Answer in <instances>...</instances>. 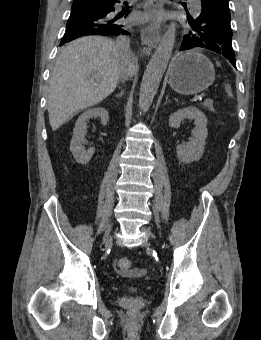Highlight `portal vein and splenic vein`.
<instances>
[{
    "label": "portal vein and splenic vein",
    "instance_id": "1",
    "mask_svg": "<svg viewBox=\"0 0 261 340\" xmlns=\"http://www.w3.org/2000/svg\"><path fill=\"white\" fill-rule=\"evenodd\" d=\"M203 98H204V96L200 95V96H197L195 99H196V100H200V101H202V100H203Z\"/></svg>",
    "mask_w": 261,
    "mask_h": 340
}]
</instances>
